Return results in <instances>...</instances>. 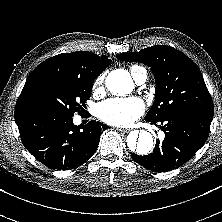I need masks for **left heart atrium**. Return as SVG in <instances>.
<instances>
[{
    "label": "left heart atrium",
    "mask_w": 222,
    "mask_h": 222,
    "mask_svg": "<svg viewBox=\"0 0 222 222\" xmlns=\"http://www.w3.org/2000/svg\"><path fill=\"white\" fill-rule=\"evenodd\" d=\"M144 109V103L138 97L111 98L98 105L97 115L108 124L128 126L144 113Z\"/></svg>",
    "instance_id": "left-heart-atrium-1"
}]
</instances>
